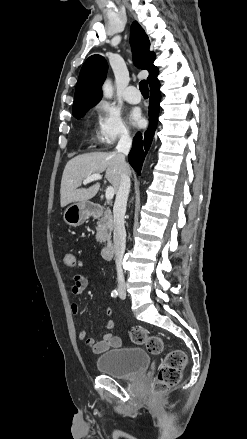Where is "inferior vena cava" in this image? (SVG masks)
<instances>
[{"mask_svg": "<svg viewBox=\"0 0 247 439\" xmlns=\"http://www.w3.org/2000/svg\"><path fill=\"white\" fill-rule=\"evenodd\" d=\"M132 140L128 132H123L121 138L116 146V153L118 155L122 172L119 189L116 195L113 207V241L115 252V263L117 270L118 288H125V279L122 270V260L126 246V231L124 226V216L126 212L127 199L130 191V175L127 172L128 164L125 161V155L130 151Z\"/></svg>", "mask_w": 247, "mask_h": 439, "instance_id": "602c4592", "label": "inferior vena cava"}]
</instances>
